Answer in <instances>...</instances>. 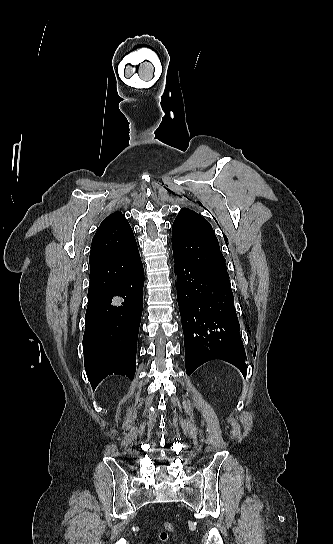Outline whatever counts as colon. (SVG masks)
<instances>
[{
	"label": "colon",
	"instance_id": "obj_1",
	"mask_svg": "<svg viewBox=\"0 0 333 544\" xmlns=\"http://www.w3.org/2000/svg\"><path fill=\"white\" fill-rule=\"evenodd\" d=\"M175 525L172 522H164L160 528L159 538L162 542L170 540V534L174 531Z\"/></svg>",
	"mask_w": 333,
	"mask_h": 544
}]
</instances>
